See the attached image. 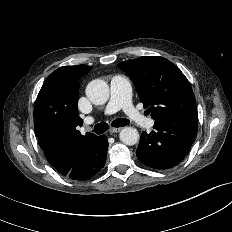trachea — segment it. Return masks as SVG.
<instances>
[{
	"instance_id": "obj_1",
	"label": "trachea",
	"mask_w": 232,
	"mask_h": 232,
	"mask_svg": "<svg viewBox=\"0 0 232 232\" xmlns=\"http://www.w3.org/2000/svg\"><path fill=\"white\" fill-rule=\"evenodd\" d=\"M130 121L128 119H124V118H118V119H115L113 122H112V126L113 127H123L127 124H129ZM109 128V125L105 122H101V123H98L95 125L93 131L96 133V134H102L104 133L107 129Z\"/></svg>"
}]
</instances>
